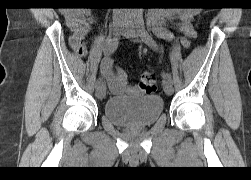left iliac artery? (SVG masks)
Listing matches in <instances>:
<instances>
[{"mask_svg": "<svg viewBox=\"0 0 251 180\" xmlns=\"http://www.w3.org/2000/svg\"><path fill=\"white\" fill-rule=\"evenodd\" d=\"M135 26L142 40L152 49L158 50V45L156 41L152 38L151 34L149 33V30L145 29L144 20L141 14L136 15ZM164 78L172 82V77L170 73H165Z\"/></svg>", "mask_w": 251, "mask_h": 180, "instance_id": "left-iliac-artery-1", "label": "left iliac artery"}]
</instances>
